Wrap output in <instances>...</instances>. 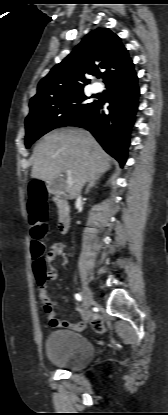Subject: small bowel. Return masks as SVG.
Wrapping results in <instances>:
<instances>
[{
    "label": "small bowel",
    "instance_id": "small-bowel-1",
    "mask_svg": "<svg viewBox=\"0 0 168 415\" xmlns=\"http://www.w3.org/2000/svg\"><path fill=\"white\" fill-rule=\"evenodd\" d=\"M62 253H63L62 243L56 242V243L51 245V247L49 249V252H48V257H49V259L52 260V259H55L57 256L61 255ZM57 277H58V275L55 271H51L49 273V278L51 280H56ZM39 296H40V299L43 303V310L47 315L48 323H49L50 326L57 327V328L71 327V328L76 329V330H80V329L84 328V326H85L84 321L68 322L66 320L59 319V318L56 317V314H55L54 309H53V307L55 305V301H53L52 299L49 298L45 286L40 287Z\"/></svg>",
    "mask_w": 168,
    "mask_h": 415
}]
</instances>
